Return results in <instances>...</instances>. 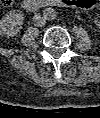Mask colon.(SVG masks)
Wrapping results in <instances>:
<instances>
[{
	"instance_id": "1",
	"label": "colon",
	"mask_w": 100,
	"mask_h": 118,
	"mask_svg": "<svg viewBox=\"0 0 100 118\" xmlns=\"http://www.w3.org/2000/svg\"><path fill=\"white\" fill-rule=\"evenodd\" d=\"M72 4H73V0H69ZM82 1H84V4H83V6L85 7V8H91V7H93L94 5H95V0H82ZM0 3H1V5H2V7H4V8H8L9 6H11L12 5V3H13V0H0Z\"/></svg>"
}]
</instances>
